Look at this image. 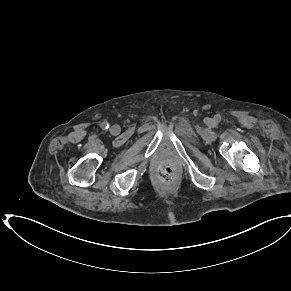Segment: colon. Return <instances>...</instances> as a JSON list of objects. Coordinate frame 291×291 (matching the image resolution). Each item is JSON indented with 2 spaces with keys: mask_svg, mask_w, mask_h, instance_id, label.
<instances>
[{
  "mask_svg": "<svg viewBox=\"0 0 291 291\" xmlns=\"http://www.w3.org/2000/svg\"><path fill=\"white\" fill-rule=\"evenodd\" d=\"M175 175V169L172 164L165 163L163 164L159 171H158V177L163 182H170L173 180Z\"/></svg>",
  "mask_w": 291,
  "mask_h": 291,
  "instance_id": "colon-1",
  "label": "colon"
}]
</instances>
